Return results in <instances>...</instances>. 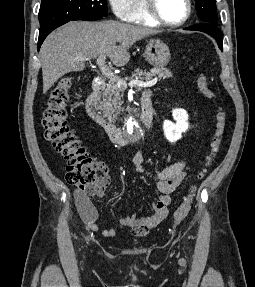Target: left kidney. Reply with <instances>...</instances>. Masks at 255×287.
Segmentation results:
<instances>
[{
	"instance_id": "5707ae66",
	"label": "left kidney",
	"mask_w": 255,
	"mask_h": 287,
	"mask_svg": "<svg viewBox=\"0 0 255 287\" xmlns=\"http://www.w3.org/2000/svg\"><path fill=\"white\" fill-rule=\"evenodd\" d=\"M172 116L176 124H174V122H170V120H164V136L166 140H169V142H177V140L182 138V132H186V130H188V114L186 110L178 108V110H173Z\"/></svg>"
}]
</instances>
